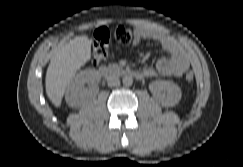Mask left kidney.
Returning <instances> with one entry per match:
<instances>
[{
  "mask_svg": "<svg viewBox=\"0 0 243 167\" xmlns=\"http://www.w3.org/2000/svg\"><path fill=\"white\" fill-rule=\"evenodd\" d=\"M149 90L155 101L164 107L175 106L182 96L180 87L171 81H154L149 84Z\"/></svg>",
  "mask_w": 243,
  "mask_h": 167,
  "instance_id": "left-kidney-1",
  "label": "left kidney"
}]
</instances>
